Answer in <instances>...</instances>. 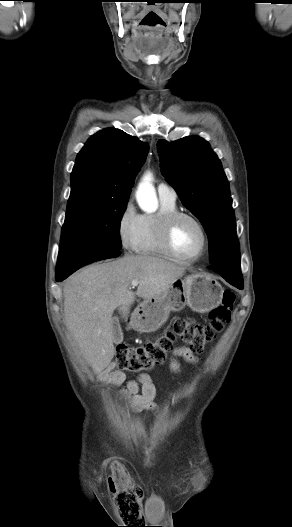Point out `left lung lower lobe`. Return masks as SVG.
<instances>
[{
  "label": "left lung lower lobe",
  "instance_id": "1",
  "mask_svg": "<svg viewBox=\"0 0 292 527\" xmlns=\"http://www.w3.org/2000/svg\"><path fill=\"white\" fill-rule=\"evenodd\" d=\"M210 269L219 273L231 285L238 289H243V279L240 270V264L221 263L210 267Z\"/></svg>",
  "mask_w": 292,
  "mask_h": 527
}]
</instances>
